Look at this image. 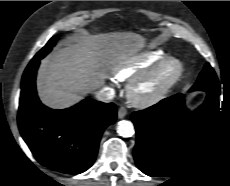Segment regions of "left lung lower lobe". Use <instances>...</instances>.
I'll list each match as a JSON object with an SVG mask.
<instances>
[{"label":"left lung lower lobe","instance_id":"1","mask_svg":"<svg viewBox=\"0 0 230 186\" xmlns=\"http://www.w3.org/2000/svg\"><path fill=\"white\" fill-rule=\"evenodd\" d=\"M207 93L194 112L185 107L184 96L173 95L132 113L137 133L134 159L149 176L176 174L203 146L219 113V86L190 89Z\"/></svg>","mask_w":230,"mask_h":186}]
</instances>
